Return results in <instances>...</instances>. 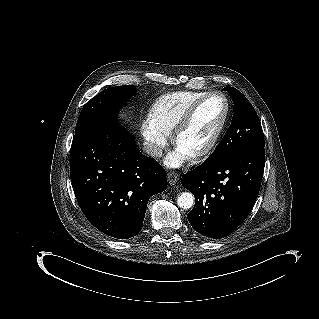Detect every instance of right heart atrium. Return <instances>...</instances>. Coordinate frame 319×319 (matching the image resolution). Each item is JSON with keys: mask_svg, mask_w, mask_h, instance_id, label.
Listing matches in <instances>:
<instances>
[{"mask_svg": "<svg viewBox=\"0 0 319 319\" xmlns=\"http://www.w3.org/2000/svg\"><path fill=\"white\" fill-rule=\"evenodd\" d=\"M141 132L149 153L159 156L167 146V133L149 121L142 125Z\"/></svg>", "mask_w": 319, "mask_h": 319, "instance_id": "obj_1", "label": "right heart atrium"}]
</instances>
